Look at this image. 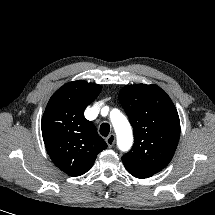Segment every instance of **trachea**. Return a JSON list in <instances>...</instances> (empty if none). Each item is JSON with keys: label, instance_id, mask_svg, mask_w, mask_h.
I'll use <instances>...</instances> for the list:
<instances>
[{"label": "trachea", "instance_id": "obj_1", "mask_svg": "<svg viewBox=\"0 0 215 215\" xmlns=\"http://www.w3.org/2000/svg\"><path fill=\"white\" fill-rule=\"evenodd\" d=\"M110 132V125L108 123H102L100 126V134L107 137Z\"/></svg>", "mask_w": 215, "mask_h": 215}]
</instances>
